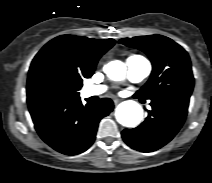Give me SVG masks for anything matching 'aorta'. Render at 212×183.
Returning a JSON list of instances; mask_svg holds the SVG:
<instances>
[{
	"label": "aorta",
	"instance_id": "1",
	"mask_svg": "<svg viewBox=\"0 0 212 183\" xmlns=\"http://www.w3.org/2000/svg\"><path fill=\"white\" fill-rule=\"evenodd\" d=\"M104 72L112 80H121L126 73V65L119 61H111L104 67ZM118 123L125 127H135L143 117L141 106L132 100L122 102L116 109Z\"/></svg>",
	"mask_w": 212,
	"mask_h": 183
}]
</instances>
